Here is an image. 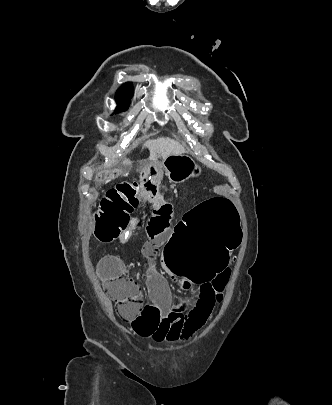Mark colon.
<instances>
[{
	"instance_id": "obj_1",
	"label": "colon",
	"mask_w": 332,
	"mask_h": 405,
	"mask_svg": "<svg viewBox=\"0 0 332 405\" xmlns=\"http://www.w3.org/2000/svg\"><path fill=\"white\" fill-rule=\"evenodd\" d=\"M140 183L123 182L107 191L94 216V236L101 242L116 240L130 226V215L138 206ZM236 202L229 197H205L190 205L187 220H177L171 240L164 248L163 268L168 275H181L182 281H195L203 287L211 281V313L223 299L230 277L231 259L240 249L242 234ZM213 275H215L213 277ZM105 289L120 316L134 320L143 311V298L137 283L124 276L105 282Z\"/></svg>"
}]
</instances>
